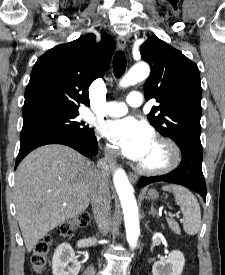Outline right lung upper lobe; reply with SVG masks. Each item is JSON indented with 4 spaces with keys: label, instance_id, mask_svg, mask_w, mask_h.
<instances>
[{
    "label": "right lung upper lobe",
    "instance_id": "right-lung-upper-lobe-1",
    "mask_svg": "<svg viewBox=\"0 0 225 275\" xmlns=\"http://www.w3.org/2000/svg\"><path fill=\"white\" fill-rule=\"evenodd\" d=\"M115 41L94 34L48 50L35 63L25 90L23 116L47 111L78 110L90 106L88 88L109 67Z\"/></svg>",
    "mask_w": 225,
    "mask_h": 275
}]
</instances>
